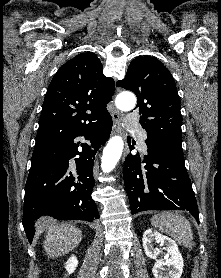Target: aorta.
<instances>
[{"label": "aorta", "instance_id": "aorta-1", "mask_svg": "<svg viewBox=\"0 0 221 278\" xmlns=\"http://www.w3.org/2000/svg\"><path fill=\"white\" fill-rule=\"evenodd\" d=\"M135 104L136 98L131 93L121 94L116 99V106L124 111L133 109ZM123 147L124 141L120 136H114L108 141L101 159L103 172L108 173L114 169L122 155Z\"/></svg>", "mask_w": 221, "mask_h": 278}]
</instances>
